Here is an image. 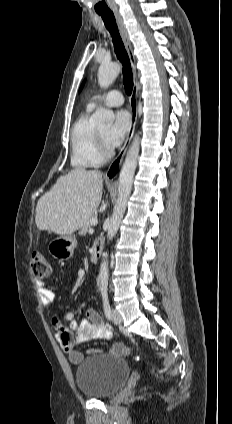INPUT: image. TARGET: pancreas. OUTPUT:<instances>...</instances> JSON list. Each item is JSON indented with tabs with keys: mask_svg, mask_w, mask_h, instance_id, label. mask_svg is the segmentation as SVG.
Segmentation results:
<instances>
[{
	"mask_svg": "<svg viewBox=\"0 0 232 424\" xmlns=\"http://www.w3.org/2000/svg\"><path fill=\"white\" fill-rule=\"evenodd\" d=\"M92 218H95L94 216H92L82 227H81V230H80V232H79V234L80 235H86V233L88 232V230L90 229V227H91V223H90V221H91V219Z\"/></svg>",
	"mask_w": 232,
	"mask_h": 424,
	"instance_id": "cf45deb5",
	"label": "pancreas"
}]
</instances>
